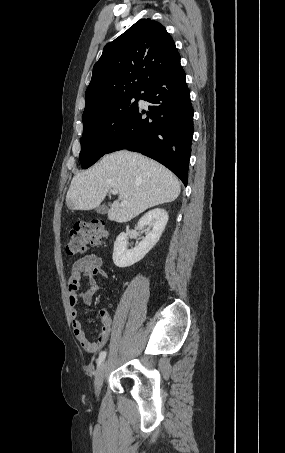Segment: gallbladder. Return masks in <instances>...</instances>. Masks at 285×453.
<instances>
[{
    "label": "gallbladder",
    "mask_w": 285,
    "mask_h": 453,
    "mask_svg": "<svg viewBox=\"0 0 285 453\" xmlns=\"http://www.w3.org/2000/svg\"><path fill=\"white\" fill-rule=\"evenodd\" d=\"M96 212L99 214H106L108 212V207L106 205L98 206Z\"/></svg>",
    "instance_id": "gallbladder-1"
}]
</instances>
